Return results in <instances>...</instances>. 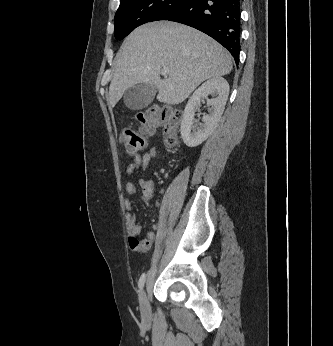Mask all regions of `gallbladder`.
<instances>
[{
  "label": "gallbladder",
  "instance_id": "gallbladder-1",
  "mask_svg": "<svg viewBox=\"0 0 333 346\" xmlns=\"http://www.w3.org/2000/svg\"><path fill=\"white\" fill-rule=\"evenodd\" d=\"M156 92L157 88L153 84L134 85L124 92V104L131 110L143 109L153 101Z\"/></svg>",
  "mask_w": 333,
  "mask_h": 346
}]
</instances>
